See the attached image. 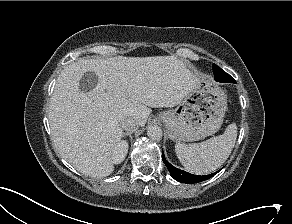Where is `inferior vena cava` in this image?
Here are the masks:
<instances>
[{"instance_id": "inferior-vena-cava-1", "label": "inferior vena cava", "mask_w": 292, "mask_h": 224, "mask_svg": "<svg viewBox=\"0 0 292 224\" xmlns=\"http://www.w3.org/2000/svg\"><path fill=\"white\" fill-rule=\"evenodd\" d=\"M120 126L128 132H134L138 129L139 123L131 117H126L120 120Z\"/></svg>"}]
</instances>
